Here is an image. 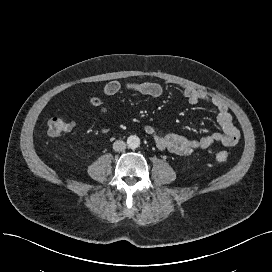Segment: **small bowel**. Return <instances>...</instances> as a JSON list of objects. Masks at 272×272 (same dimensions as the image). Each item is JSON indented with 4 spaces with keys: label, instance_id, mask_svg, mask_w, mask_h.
Here are the masks:
<instances>
[{
    "label": "small bowel",
    "instance_id": "small-bowel-1",
    "mask_svg": "<svg viewBox=\"0 0 272 272\" xmlns=\"http://www.w3.org/2000/svg\"><path fill=\"white\" fill-rule=\"evenodd\" d=\"M178 87L191 104L203 102L217 110L221 131L213 132L197 139H189L175 133L162 134L155 127L146 125L144 132L153 139L159 149L179 156H187L195 149H207L216 143L225 147H231L238 142L240 131L235 126L228 106L223 99L213 97L206 91L195 89L189 85L178 84ZM121 90L157 97L162 94L163 87L155 82H126L122 84L118 81H111L103 88V92L106 95H114ZM108 131L109 129L106 127L100 129L101 133H107Z\"/></svg>",
    "mask_w": 272,
    "mask_h": 272
}]
</instances>
